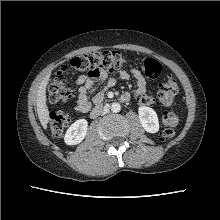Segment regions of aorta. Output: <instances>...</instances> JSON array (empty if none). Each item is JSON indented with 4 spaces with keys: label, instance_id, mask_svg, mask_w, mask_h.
Listing matches in <instances>:
<instances>
[{
    "label": "aorta",
    "instance_id": "1",
    "mask_svg": "<svg viewBox=\"0 0 220 220\" xmlns=\"http://www.w3.org/2000/svg\"><path fill=\"white\" fill-rule=\"evenodd\" d=\"M121 110V105L117 102L115 103H112L111 105V111L114 112V113H117Z\"/></svg>",
    "mask_w": 220,
    "mask_h": 220
}]
</instances>
